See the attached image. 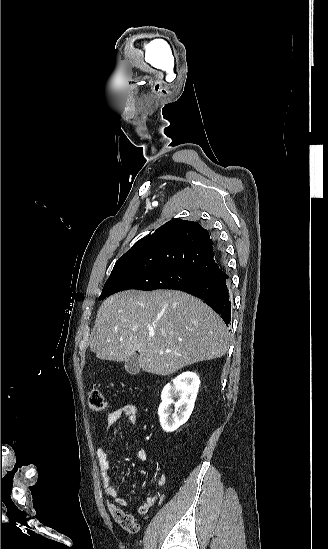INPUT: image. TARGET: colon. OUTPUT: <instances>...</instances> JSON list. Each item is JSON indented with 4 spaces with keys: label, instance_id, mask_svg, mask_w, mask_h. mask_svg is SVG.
<instances>
[{
    "label": "colon",
    "instance_id": "1",
    "mask_svg": "<svg viewBox=\"0 0 328 549\" xmlns=\"http://www.w3.org/2000/svg\"><path fill=\"white\" fill-rule=\"evenodd\" d=\"M88 406L94 412H101L106 409L107 402L104 395L99 389H93L89 393ZM108 509L112 518L124 530L130 533H136L138 531V523L133 515L124 512L118 505L114 503H109Z\"/></svg>",
    "mask_w": 328,
    "mask_h": 549
}]
</instances>
